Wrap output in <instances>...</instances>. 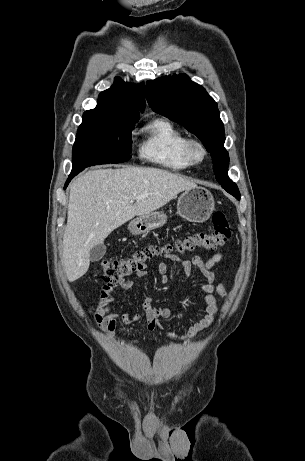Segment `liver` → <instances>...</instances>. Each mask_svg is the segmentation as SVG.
<instances>
[{
	"label": "liver",
	"mask_w": 305,
	"mask_h": 461,
	"mask_svg": "<svg viewBox=\"0 0 305 461\" xmlns=\"http://www.w3.org/2000/svg\"><path fill=\"white\" fill-rule=\"evenodd\" d=\"M195 187L194 182L156 168L99 169L78 176L70 186L63 235L68 280L73 282L88 271L91 249L103 243L113 230Z\"/></svg>",
	"instance_id": "6515ba94"
}]
</instances>
